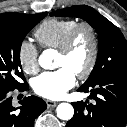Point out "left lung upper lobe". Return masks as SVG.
Returning a JSON list of instances; mask_svg holds the SVG:
<instances>
[{
  "label": "left lung upper lobe",
  "instance_id": "left-lung-upper-lobe-1",
  "mask_svg": "<svg viewBox=\"0 0 127 127\" xmlns=\"http://www.w3.org/2000/svg\"><path fill=\"white\" fill-rule=\"evenodd\" d=\"M51 16L79 17L86 20L97 32L99 51L96 64L85 87L108 74L127 75V42L122 32L113 23L92 7L73 6L50 13Z\"/></svg>",
  "mask_w": 127,
  "mask_h": 127
}]
</instances>
